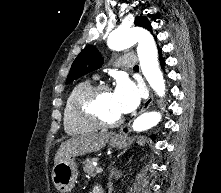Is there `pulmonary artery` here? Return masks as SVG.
Listing matches in <instances>:
<instances>
[{"label": "pulmonary artery", "instance_id": "1", "mask_svg": "<svg viewBox=\"0 0 221 193\" xmlns=\"http://www.w3.org/2000/svg\"><path fill=\"white\" fill-rule=\"evenodd\" d=\"M136 63V56L135 55H126L124 57H121L118 60V65L127 67V68H132Z\"/></svg>", "mask_w": 221, "mask_h": 193}]
</instances>
